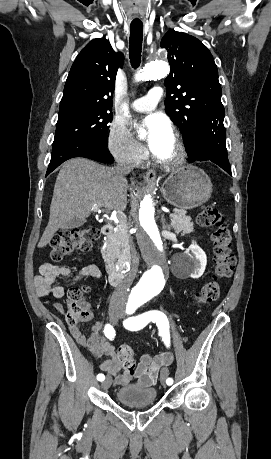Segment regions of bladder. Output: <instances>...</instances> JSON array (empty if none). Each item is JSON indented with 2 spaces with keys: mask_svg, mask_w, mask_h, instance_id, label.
Returning <instances> with one entry per match:
<instances>
[{
  "mask_svg": "<svg viewBox=\"0 0 271 459\" xmlns=\"http://www.w3.org/2000/svg\"><path fill=\"white\" fill-rule=\"evenodd\" d=\"M156 391L129 383L117 391V404L149 405L156 403Z\"/></svg>",
  "mask_w": 271,
  "mask_h": 459,
  "instance_id": "bladder-1",
  "label": "bladder"
}]
</instances>
